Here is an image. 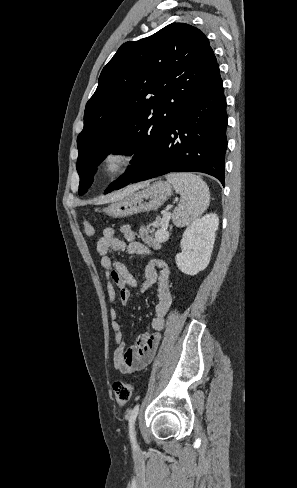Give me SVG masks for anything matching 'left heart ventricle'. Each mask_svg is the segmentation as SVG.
<instances>
[{
  "label": "left heart ventricle",
  "mask_w": 297,
  "mask_h": 488,
  "mask_svg": "<svg viewBox=\"0 0 297 488\" xmlns=\"http://www.w3.org/2000/svg\"><path fill=\"white\" fill-rule=\"evenodd\" d=\"M121 162L122 158L120 156H113L109 159L107 167L110 171H114L120 166Z\"/></svg>",
  "instance_id": "b2bd125f"
}]
</instances>
